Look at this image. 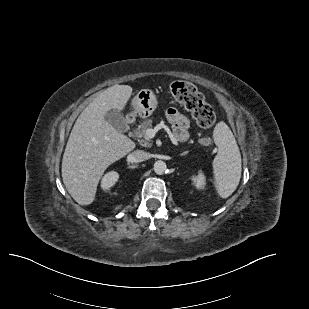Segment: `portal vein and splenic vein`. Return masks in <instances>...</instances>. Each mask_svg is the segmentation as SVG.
Here are the masks:
<instances>
[{"label":"portal vein and splenic vein","instance_id":"obj_1","mask_svg":"<svg viewBox=\"0 0 309 309\" xmlns=\"http://www.w3.org/2000/svg\"><path fill=\"white\" fill-rule=\"evenodd\" d=\"M155 134H156V131L154 129H152V128L147 129L146 134H145V138L147 140H150V139L154 138Z\"/></svg>","mask_w":309,"mask_h":309}]
</instances>
